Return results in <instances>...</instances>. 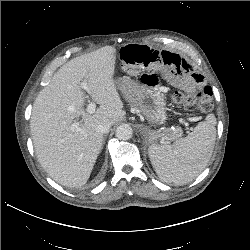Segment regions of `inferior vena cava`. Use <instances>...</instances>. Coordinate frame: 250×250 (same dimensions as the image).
I'll use <instances>...</instances> for the list:
<instances>
[{
    "label": "inferior vena cava",
    "instance_id": "inferior-vena-cava-1",
    "mask_svg": "<svg viewBox=\"0 0 250 250\" xmlns=\"http://www.w3.org/2000/svg\"><path fill=\"white\" fill-rule=\"evenodd\" d=\"M110 127H111V123L108 121H104L98 125L97 129L99 132L105 134L109 132Z\"/></svg>",
    "mask_w": 250,
    "mask_h": 250
}]
</instances>
